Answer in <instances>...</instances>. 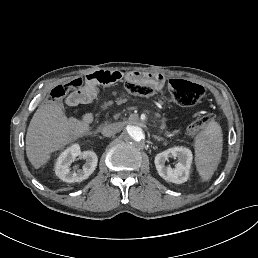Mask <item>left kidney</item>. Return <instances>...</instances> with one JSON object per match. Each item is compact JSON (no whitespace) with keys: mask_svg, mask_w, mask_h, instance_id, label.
<instances>
[{"mask_svg":"<svg viewBox=\"0 0 258 258\" xmlns=\"http://www.w3.org/2000/svg\"><path fill=\"white\" fill-rule=\"evenodd\" d=\"M169 157H177L179 160L174 169L165 166V162ZM192 159L193 155L191 150L181 146L169 148L161 153H158L155 156L154 163L158 174L163 179L176 184H182L189 178Z\"/></svg>","mask_w":258,"mask_h":258,"instance_id":"obj_1","label":"left kidney"}]
</instances>
